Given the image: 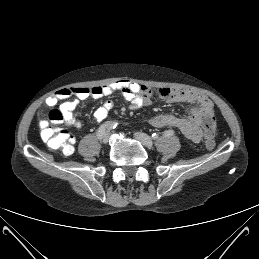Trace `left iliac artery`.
Instances as JSON below:
<instances>
[{"label":"left iliac artery","mask_w":259,"mask_h":259,"mask_svg":"<svg viewBox=\"0 0 259 259\" xmlns=\"http://www.w3.org/2000/svg\"><path fill=\"white\" fill-rule=\"evenodd\" d=\"M172 135H174L173 130H166V131L163 132V136H165V137H170Z\"/></svg>","instance_id":"44dca946"}]
</instances>
